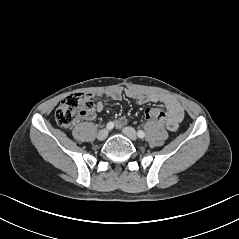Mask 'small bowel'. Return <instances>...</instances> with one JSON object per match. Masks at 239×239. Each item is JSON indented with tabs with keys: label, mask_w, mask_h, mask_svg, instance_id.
<instances>
[{
	"label": "small bowel",
	"mask_w": 239,
	"mask_h": 239,
	"mask_svg": "<svg viewBox=\"0 0 239 239\" xmlns=\"http://www.w3.org/2000/svg\"><path fill=\"white\" fill-rule=\"evenodd\" d=\"M107 95L113 100H120L122 98V92L118 89L109 91ZM126 96L135 100L138 104H145L148 102L163 104L166 108V115L163 122L170 131H176L184 118V110L181 104L169 95L159 93H142L136 90H128L126 91ZM95 109L97 112H102L105 110V105L102 102H97ZM87 117L92 119L94 115L90 114ZM125 123L126 119L121 117L115 121V126L117 128H122Z\"/></svg>",
	"instance_id": "1"
}]
</instances>
